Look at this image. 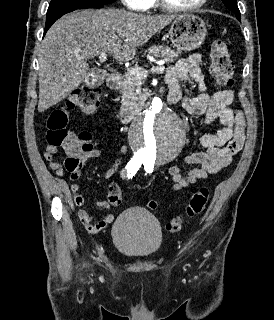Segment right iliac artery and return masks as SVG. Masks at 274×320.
<instances>
[{
    "label": "right iliac artery",
    "mask_w": 274,
    "mask_h": 320,
    "mask_svg": "<svg viewBox=\"0 0 274 320\" xmlns=\"http://www.w3.org/2000/svg\"><path fill=\"white\" fill-rule=\"evenodd\" d=\"M142 163L143 161L141 159L132 158L126 166L128 173L135 174L137 170L140 168Z\"/></svg>",
    "instance_id": "right-iliac-artery-1"
}]
</instances>
